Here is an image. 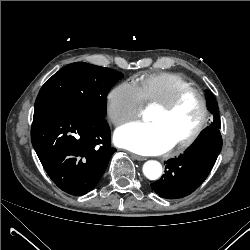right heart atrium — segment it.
I'll list each match as a JSON object with an SVG mask.
<instances>
[{
    "instance_id": "1",
    "label": "right heart atrium",
    "mask_w": 250,
    "mask_h": 250,
    "mask_svg": "<svg viewBox=\"0 0 250 250\" xmlns=\"http://www.w3.org/2000/svg\"><path fill=\"white\" fill-rule=\"evenodd\" d=\"M142 105L139 90L132 82L125 81L115 85L106 96L107 116L116 127L135 118Z\"/></svg>"
}]
</instances>
